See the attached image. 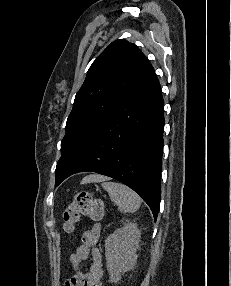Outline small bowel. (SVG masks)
I'll use <instances>...</instances> for the list:
<instances>
[{
  "label": "small bowel",
  "mask_w": 231,
  "mask_h": 286,
  "mask_svg": "<svg viewBox=\"0 0 231 286\" xmlns=\"http://www.w3.org/2000/svg\"><path fill=\"white\" fill-rule=\"evenodd\" d=\"M101 234V225L96 223L86 230L81 244L69 258L74 274L65 281V286H104L102 282V256L96 244ZM91 257L87 271H82V263Z\"/></svg>",
  "instance_id": "1"
}]
</instances>
